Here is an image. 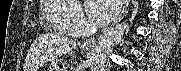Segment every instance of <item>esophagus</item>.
<instances>
[{
  "label": "esophagus",
  "mask_w": 181,
  "mask_h": 71,
  "mask_svg": "<svg viewBox=\"0 0 181 71\" xmlns=\"http://www.w3.org/2000/svg\"><path fill=\"white\" fill-rule=\"evenodd\" d=\"M129 3H130V0H125L123 2V6L121 8V11H120L117 19L115 20L114 24L120 22L124 18L125 14L127 12V7L129 5ZM99 39H100V37L87 39L83 42V46L89 47V48H94Z\"/></svg>",
  "instance_id": "obj_1"
}]
</instances>
